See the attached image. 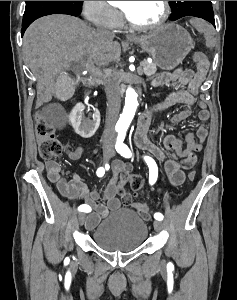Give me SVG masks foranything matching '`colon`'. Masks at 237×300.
<instances>
[{
	"mask_svg": "<svg viewBox=\"0 0 237 300\" xmlns=\"http://www.w3.org/2000/svg\"><path fill=\"white\" fill-rule=\"evenodd\" d=\"M191 24L195 29L204 34L206 43L210 48H213L216 45L214 33L203 19L194 18L191 20ZM193 60L197 65L205 66L208 64L207 57L201 53L194 54ZM36 135L38 143V152L41 158L45 160H50L62 154V143L56 137L53 127L43 118L42 115H38L36 124ZM194 178L195 172H189L188 179L193 180ZM126 186H129L135 192L140 191L143 187V179L141 176L136 174L127 175L125 177L123 186L119 189V194L121 196L127 195Z\"/></svg>",
	"mask_w": 237,
	"mask_h": 300,
	"instance_id": "1",
	"label": "colon"
}]
</instances>
